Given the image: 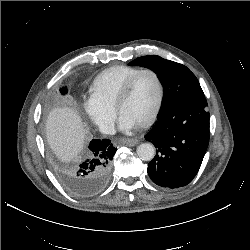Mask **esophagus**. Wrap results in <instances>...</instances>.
Segmentation results:
<instances>
[{
  "label": "esophagus",
  "instance_id": "34e87169",
  "mask_svg": "<svg viewBox=\"0 0 250 250\" xmlns=\"http://www.w3.org/2000/svg\"><path fill=\"white\" fill-rule=\"evenodd\" d=\"M120 142L127 146H134L138 143V139L136 138H122Z\"/></svg>",
  "mask_w": 250,
  "mask_h": 250
}]
</instances>
